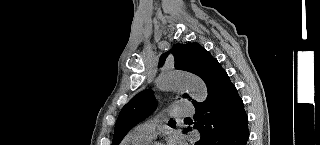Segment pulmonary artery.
I'll use <instances>...</instances> for the list:
<instances>
[{
  "label": "pulmonary artery",
  "mask_w": 320,
  "mask_h": 145,
  "mask_svg": "<svg viewBox=\"0 0 320 145\" xmlns=\"http://www.w3.org/2000/svg\"><path fill=\"white\" fill-rule=\"evenodd\" d=\"M185 101H179L175 102L172 105H170L167 109V111L177 117H184V116H190L193 115L194 110L192 108L185 106ZM163 116L158 115L152 119H149L141 124H139L135 130L149 138L155 137V130L156 128L162 123Z\"/></svg>",
  "instance_id": "pulmonary-artery-1"
}]
</instances>
